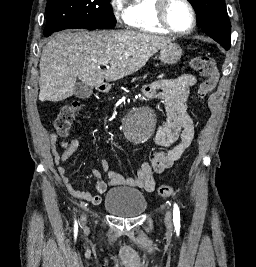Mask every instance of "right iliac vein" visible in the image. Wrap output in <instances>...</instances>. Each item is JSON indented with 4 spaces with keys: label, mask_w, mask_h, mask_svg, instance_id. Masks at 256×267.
Segmentation results:
<instances>
[{
    "label": "right iliac vein",
    "mask_w": 256,
    "mask_h": 267,
    "mask_svg": "<svg viewBox=\"0 0 256 267\" xmlns=\"http://www.w3.org/2000/svg\"><path fill=\"white\" fill-rule=\"evenodd\" d=\"M83 221H85V217H83Z\"/></svg>",
    "instance_id": "right-iliac-vein-1"
}]
</instances>
